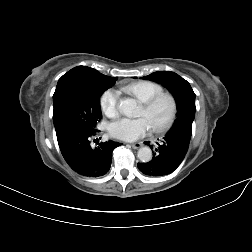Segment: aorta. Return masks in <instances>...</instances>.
<instances>
[{
    "instance_id": "aorta-1",
    "label": "aorta",
    "mask_w": 252,
    "mask_h": 252,
    "mask_svg": "<svg viewBox=\"0 0 252 252\" xmlns=\"http://www.w3.org/2000/svg\"><path fill=\"white\" fill-rule=\"evenodd\" d=\"M137 103L132 98H126L120 101L119 109L127 117H135L137 115ZM141 162H149L152 159V151L149 147L145 146L138 150L137 154Z\"/></svg>"
}]
</instances>
